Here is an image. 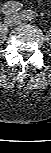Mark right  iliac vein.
Instances as JSON below:
<instances>
[{
  "label": "right iliac vein",
  "mask_w": 51,
  "mask_h": 153,
  "mask_svg": "<svg viewBox=\"0 0 51 153\" xmlns=\"http://www.w3.org/2000/svg\"><path fill=\"white\" fill-rule=\"evenodd\" d=\"M15 21H16V18L15 16L11 15V16H7L5 19H4V24L7 26V27H11L15 24Z\"/></svg>",
  "instance_id": "right-iliac-vein-1"
}]
</instances>
